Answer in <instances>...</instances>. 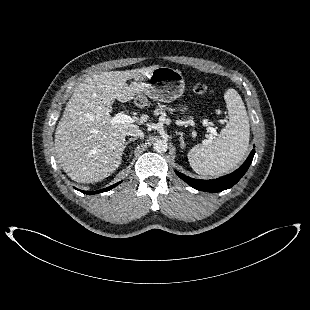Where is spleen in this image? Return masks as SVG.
I'll return each mask as SVG.
<instances>
[{
	"mask_svg": "<svg viewBox=\"0 0 310 310\" xmlns=\"http://www.w3.org/2000/svg\"><path fill=\"white\" fill-rule=\"evenodd\" d=\"M224 99L229 122L214 140L195 145L187 155L192 169L201 175L228 173L248 150L250 125L244 103L235 89H228Z\"/></svg>",
	"mask_w": 310,
	"mask_h": 310,
	"instance_id": "obj_1",
	"label": "spleen"
}]
</instances>
